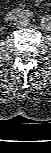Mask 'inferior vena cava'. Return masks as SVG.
<instances>
[{
    "label": "inferior vena cava",
    "instance_id": "inferior-vena-cava-1",
    "mask_svg": "<svg viewBox=\"0 0 51 153\" xmlns=\"http://www.w3.org/2000/svg\"><path fill=\"white\" fill-rule=\"evenodd\" d=\"M29 18L25 15H18L14 18V25L17 27L27 26L29 24Z\"/></svg>",
    "mask_w": 51,
    "mask_h": 153
}]
</instances>
